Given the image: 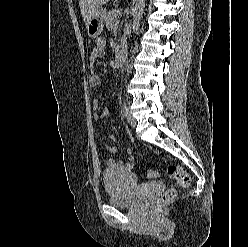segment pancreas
Wrapping results in <instances>:
<instances>
[{
  "label": "pancreas",
  "mask_w": 248,
  "mask_h": 247,
  "mask_svg": "<svg viewBox=\"0 0 248 247\" xmlns=\"http://www.w3.org/2000/svg\"><path fill=\"white\" fill-rule=\"evenodd\" d=\"M117 16H118V13L116 9H112L111 11H109L108 13L104 15V20L106 22L107 29H114L116 27Z\"/></svg>",
  "instance_id": "1"
}]
</instances>
